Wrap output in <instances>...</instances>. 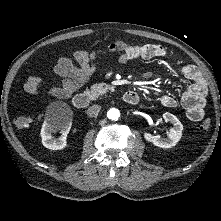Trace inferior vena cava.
Returning a JSON list of instances; mask_svg holds the SVG:
<instances>
[{"instance_id": "obj_1", "label": "inferior vena cava", "mask_w": 221, "mask_h": 221, "mask_svg": "<svg viewBox=\"0 0 221 221\" xmlns=\"http://www.w3.org/2000/svg\"><path fill=\"white\" fill-rule=\"evenodd\" d=\"M101 110V106L100 105H92L88 108L87 110V115L89 117H96L98 115V113L100 112Z\"/></svg>"}]
</instances>
